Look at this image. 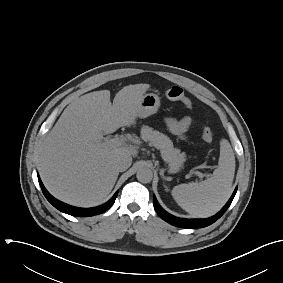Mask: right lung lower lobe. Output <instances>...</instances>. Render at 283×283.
<instances>
[{
    "mask_svg": "<svg viewBox=\"0 0 283 283\" xmlns=\"http://www.w3.org/2000/svg\"><path fill=\"white\" fill-rule=\"evenodd\" d=\"M38 180H39V184L41 186V189L43 191V194L45 195V197L47 198V200L58 210L73 215V216H80V217H87V216H94L97 214H101L103 212H105L106 210H108L115 202V199L117 197L118 192H116L114 194V196L105 204L98 206V207H94V208H77V207H73L70 206L68 204H65L57 199H55L52 195H50V193L45 189L44 185L41 182V179L38 175Z\"/></svg>",
    "mask_w": 283,
    "mask_h": 283,
    "instance_id": "right-lung-lower-lobe-1",
    "label": "right lung lower lobe"
}]
</instances>
